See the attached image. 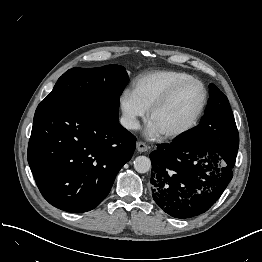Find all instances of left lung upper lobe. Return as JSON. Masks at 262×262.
Returning <instances> with one entry per match:
<instances>
[{
	"label": "left lung upper lobe",
	"mask_w": 262,
	"mask_h": 262,
	"mask_svg": "<svg viewBox=\"0 0 262 262\" xmlns=\"http://www.w3.org/2000/svg\"><path fill=\"white\" fill-rule=\"evenodd\" d=\"M209 89L208 105L200 124L181 134V141L207 144L217 142L222 135H238L227 97L214 84Z\"/></svg>",
	"instance_id": "1"
}]
</instances>
